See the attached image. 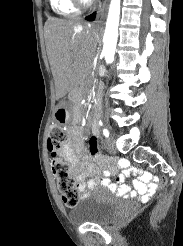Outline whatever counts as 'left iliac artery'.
Segmentation results:
<instances>
[{
    "instance_id": "1",
    "label": "left iliac artery",
    "mask_w": 183,
    "mask_h": 246,
    "mask_svg": "<svg viewBox=\"0 0 183 246\" xmlns=\"http://www.w3.org/2000/svg\"><path fill=\"white\" fill-rule=\"evenodd\" d=\"M103 135H104L106 138L109 137V131H108L106 128L103 129Z\"/></svg>"
}]
</instances>
